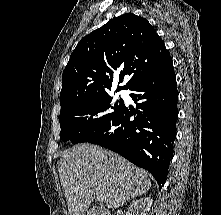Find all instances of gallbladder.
I'll return each instance as SVG.
<instances>
[{
	"mask_svg": "<svg viewBox=\"0 0 221 215\" xmlns=\"http://www.w3.org/2000/svg\"><path fill=\"white\" fill-rule=\"evenodd\" d=\"M87 215H104V211L100 208H92Z\"/></svg>",
	"mask_w": 221,
	"mask_h": 215,
	"instance_id": "obj_1",
	"label": "gallbladder"
}]
</instances>
